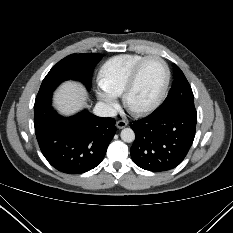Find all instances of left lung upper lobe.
Returning a JSON list of instances; mask_svg holds the SVG:
<instances>
[{
    "instance_id": "obj_1",
    "label": "left lung upper lobe",
    "mask_w": 233,
    "mask_h": 233,
    "mask_svg": "<svg viewBox=\"0 0 233 233\" xmlns=\"http://www.w3.org/2000/svg\"><path fill=\"white\" fill-rule=\"evenodd\" d=\"M173 84L164 102L155 110L161 112L177 106H194L190 84L180 68L173 64Z\"/></svg>"
}]
</instances>
